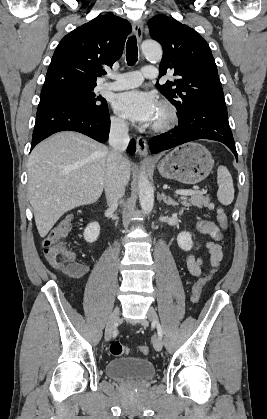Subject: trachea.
I'll return each mask as SVG.
<instances>
[{
  "label": "trachea",
  "instance_id": "1",
  "mask_svg": "<svg viewBox=\"0 0 267 419\" xmlns=\"http://www.w3.org/2000/svg\"><path fill=\"white\" fill-rule=\"evenodd\" d=\"M138 47L137 40L135 36H131L126 44V59L128 65H134L138 58Z\"/></svg>",
  "mask_w": 267,
  "mask_h": 419
}]
</instances>
